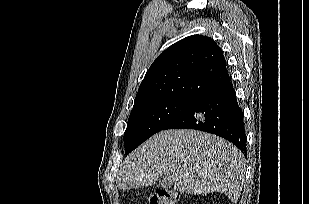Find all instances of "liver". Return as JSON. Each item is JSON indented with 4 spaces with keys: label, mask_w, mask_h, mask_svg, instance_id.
I'll return each instance as SVG.
<instances>
[{
    "label": "liver",
    "mask_w": 309,
    "mask_h": 204,
    "mask_svg": "<svg viewBox=\"0 0 309 204\" xmlns=\"http://www.w3.org/2000/svg\"><path fill=\"white\" fill-rule=\"evenodd\" d=\"M245 167L243 154L223 138L196 130H165L125 159L117 186L121 190L148 187L166 175L177 191L220 192L236 203Z\"/></svg>",
    "instance_id": "1"
}]
</instances>
